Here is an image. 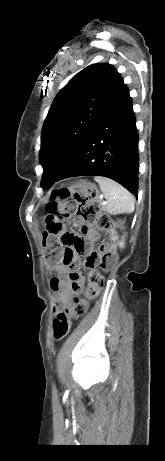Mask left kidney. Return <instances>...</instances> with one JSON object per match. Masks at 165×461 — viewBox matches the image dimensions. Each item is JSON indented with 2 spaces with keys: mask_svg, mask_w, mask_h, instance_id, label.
Instances as JSON below:
<instances>
[{
  "mask_svg": "<svg viewBox=\"0 0 165 461\" xmlns=\"http://www.w3.org/2000/svg\"><path fill=\"white\" fill-rule=\"evenodd\" d=\"M111 239H112L113 241L118 240V236L115 234V232H112V238H111ZM118 245H119L121 248H123V246H124V240L119 241Z\"/></svg>",
  "mask_w": 165,
  "mask_h": 461,
  "instance_id": "5707ae66",
  "label": "left kidney"
}]
</instances>
